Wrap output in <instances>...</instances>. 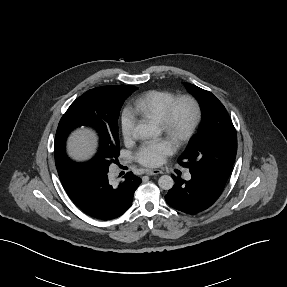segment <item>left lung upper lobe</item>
Segmentation results:
<instances>
[{"instance_id": "5c2ea615", "label": "left lung upper lobe", "mask_w": 287, "mask_h": 287, "mask_svg": "<svg viewBox=\"0 0 287 287\" xmlns=\"http://www.w3.org/2000/svg\"><path fill=\"white\" fill-rule=\"evenodd\" d=\"M202 110L198 134L178 158L180 165L227 181L237 153V135L223 104L209 91L184 83Z\"/></svg>"}]
</instances>
